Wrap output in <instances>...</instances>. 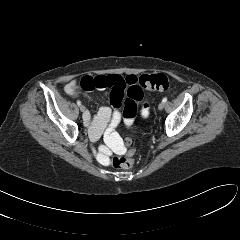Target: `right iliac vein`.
<instances>
[{
	"label": "right iliac vein",
	"mask_w": 240,
	"mask_h": 240,
	"mask_svg": "<svg viewBox=\"0 0 240 240\" xmlns=\"http://www.w3.org/2000/svg\"><path fill=\"white\" fill-rule=\"evenodd\" d=\"M85 110H86L85 106L84 105H80V111L84 112Z\"/></svg>",
	"instance_id": "obj_1"
}]
</instances>
